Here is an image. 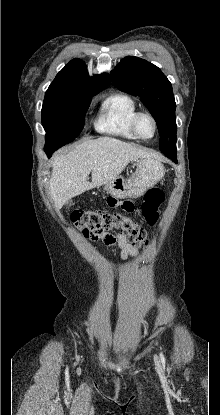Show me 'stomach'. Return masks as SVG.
I'll list each match as a JSON object with an SVG mask.
<instances>
[{
	"instance_id": "obj_1",
	"label": "stomach",
	"mask_w": 220,
	"mask_h": 415,
	"mask_svg": "<svg viewBox=\"0 0 220 415\" xmlns=\"http://www.w3.org/2000/svg\"><path fill=\"white\" fill-rule=\"evenodd\" d=\"M164 173V166L159 161L153 158H142L137 161L135 173L127 179L118 176L105 184L104 190L119 199L137 198L155 185Z\"/></svg>"
}]
</instances>
